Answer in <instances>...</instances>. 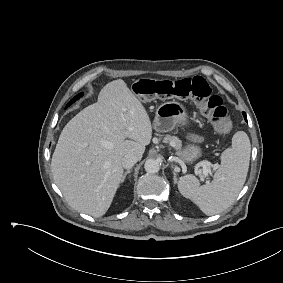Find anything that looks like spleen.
<instances>
[{"mask_svg": "<svg viewBox=\"0 0 283 283\" xmlns=\"http://www.w3.org/2000/svg\"><path fill=\"white\" fill-rule=\"evenodd\" d=\"M250 152L247 134L238 131L232 138V146L222 153L213 181L200 186L194 175H185L178 181L180 193L208 216L224 211L233 204L246 181Z\"/></svg>", "mask_w": 283, "mask_h": 283, "instance_id": "obj_1", "label": "spleen"}]
</instances>
